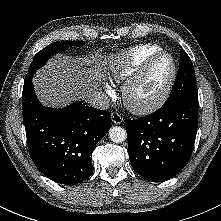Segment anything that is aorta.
Segmentation results:
<instances>
[{"label":"aorta","mask_w":221,"mask_h":221,"mask_svg":"<svg viewBox=\"0 0 221 221\" xmlns=\"http://www.w3.org/2000/svg\"><path fill=\"white\" fill-rule=\"evenodd\" d=\"M109 138L114 143H122L126 140L127 134L124 128L120 126H113L109 130Z\"/></svg>","instance_id":"1"}]
</instances>
